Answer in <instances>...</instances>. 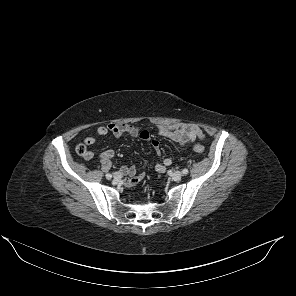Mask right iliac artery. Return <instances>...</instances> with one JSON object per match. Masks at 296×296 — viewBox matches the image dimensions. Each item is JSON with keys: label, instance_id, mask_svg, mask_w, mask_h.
Instances as JSON below:
<instances>
[{"label": "right iliac artery", "instance_id": "82829eb1", "mask_svg": "<svg viewBox=\"0 0 296 296\" xmlns=\"http://www.w3.org/2000/svg\"><path fill=\"white\" fill-rule=\"evenodd\" d=\"M106 178L107 179H111L112 178V174H110V173L106 174Z\"/></svg>", "mask_w": 296, "mask_h": 296}]
</instances>
